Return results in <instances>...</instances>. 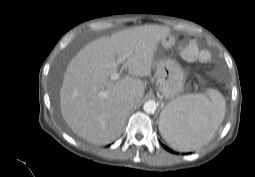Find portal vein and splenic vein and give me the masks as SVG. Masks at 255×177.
<instances>
[{
  "label": "portal vein and splenic vein",
  "instance_id": "portal-vein-and-splenic-vein-1",
  "mask_svg": "<svg viewBox=\"0 0 255 177\" xmlns=\"http://www.w3.org/2000/svg\"><path fill=\"white\" fill-rule=\"evenodd\" d=\"M126 57H127V55L119 56L117 60H118L119 63H124ZM124 68H127L125 64H124ZM120 76H121L120 73L114 72V73L111 75V80H112V81H116V80H118V79L120 78ZM98 96H99V97H102V98L107 97V96H108V91H100V92L98 93Z\"/></svg>",
  "mask_w": 255,
  "mask_h": 177
}]
</instances>
